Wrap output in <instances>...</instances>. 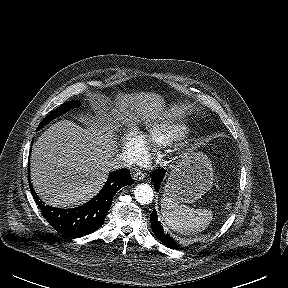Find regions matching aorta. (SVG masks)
<instances>
[{
  "instance_id": "762f6f07",
  "label": "aorta",
  "mask_w": 288,
  "mask_h": 288,
  "mask_svg": "<svg viewBox=\"0 0 288 288\" xmlns=\"http://www.w3.org/2000/svg\"><path fill=\"white\" fill-rule=\"evenodd\" d=\"M135 199L142 205L152 202L154 192L152 187L147 183L138 184L134 190Z\"/></svg>"
}]
</instances>
